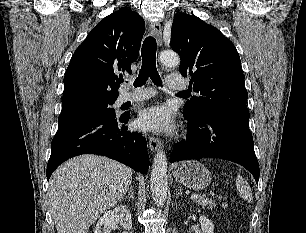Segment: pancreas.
I'll use <instances>...</instances> for the list:
<instances>
[{"instance_id":"cf45deb5","label":"pancreas","mask_w":306,"mask_h":233,"mask_svg":"<svg viewBox=\"0 0 306 233\" xmlns=\"http://www.w3.org/2000/svg\"><path fill=\"white\" fill-rule=\"evenodd\" d=\"M196 204L201 206L202 208H208V209H213L215 205V201L212 199L205 198L204 196H199L195 200Z\"/></svg>"}]
</instances>
